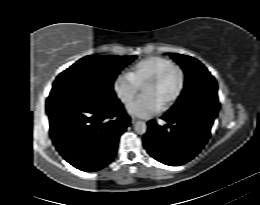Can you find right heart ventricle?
Segmentation results:
<instances>
[{"mask_svg":"<svg viewBox=\"0 0 260 205\" xmlns=\"http://www.w3.org/2000/svg\"><path fill=\"white\" fill-rule=\"evenodd\" d=\"M175 65L176 64L169 59L158 57L154 60H150L146 66L138 68L134 74V78L141 80L147 77V75L151 74L153 71H155L156 74H159L163 70Z\"/></svg>","mask_w":260,"mask_h":205,"instance_id":"1","label":"right heart ventricle"}]
</instances>
